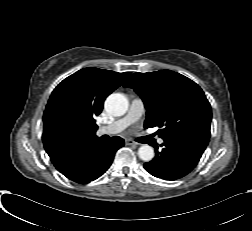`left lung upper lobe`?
<instances>
[{
    "instance_id": "obj_1",
    "label": "left lung upper lobe",
    "mask_w": 252,
    "mask_h": 231,
    "mask_svg": "<svg viewBox=\"0 0 252 231\" xmlns=\"http://www.w3.org/2000/svg\"><path fill=\"white\" fill-rule=\"evenodd\" d=\"M142 98L144 127L158 126L162 139L197 133L210 137L211 106L202 89L189 78L170 70L134 73L125 83Z\"/></svg>"
}]
</instances>
